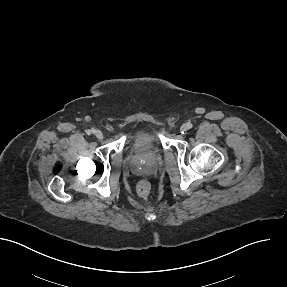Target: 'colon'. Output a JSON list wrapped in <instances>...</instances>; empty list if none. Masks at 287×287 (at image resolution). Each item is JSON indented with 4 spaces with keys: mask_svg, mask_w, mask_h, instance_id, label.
I'll return each instance as SVG.
<instances>
[{
    "mask_svg": "<svg viewBox=\"0 0 287 287\" xmlns=\"http://www.w3.org/2000/svg\"><path fill=\"white\" fill-rule=\"evenodd\" d=\"M137 194L142 198H148L151 193V185L150 182L146 179H142L137 184Z\"/></svg>",
    "mask_w": 287,
    "mask_h": 287,
    "instance_id": "colon-1",
    "label": "colon"
}]
</instances>
